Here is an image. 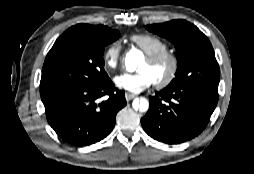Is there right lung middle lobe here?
I'll use <instances>...</instances> for the list:
<instances>
[{"label":"right lung middle lobe","mask_w":254,"mask_h":174,"mask_svg":"<svg viewBox=\"0 0 254 174\" xmlns=\"http://www.w3.org/2000/svg\"><path fill=\"white\" fill-rule=\"evenodd\" d=\"M119 36V32L112 29L102 34L71 28L66 30L46 56L40 94L92 87L105 82L109 77L104 70V47Z\"/></svg>","instance_id":"1"}]
</instances>
